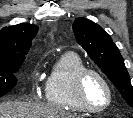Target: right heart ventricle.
Returning a JSON list of instances; mask_svg holds the SVG:
<instances>
[{
    "label": "right heart ventricle",
    "instance_id": "right-heart-ventricle-1",
    "mask_svg": "<svg viewBox=\"0 0 133 118\" xmlns=\"http://www.w3.org/2000/svg\"><path fill=\"white\" fill-rule=\"evenodd\" d=\"M84 69L86 65L78 54H62L55 61L46 80L47 102L69 111L85 112L76 96V80Z\"/></svg>",
    "mask_w": 133,
    "mask_h": 118
}]
</instances>
